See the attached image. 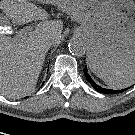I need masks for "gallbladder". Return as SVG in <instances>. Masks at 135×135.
Wrapping results in <instances>:
<instances>
[{
	"label": "gallbladder",
	"mask_w": 135,
	"mask_h": 135,
	"mask_svg": "<svg viewBox=\"0 0 135 135\" xmlns=\"http://www.w3.org/2000/svg\"><path fill=\"white\" fill-rule=\"evenodd\" d=\"M4 21H5V16L2 13H0V25H5Z\"/></svg>",
	"instance_id": "obj_1"
}]
</instances>
